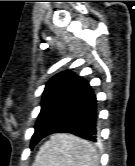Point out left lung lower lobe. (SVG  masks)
<instances>
[{"label":"left lung lower lobe","instance_id":"obj_1","mask_svg":"<svg viewBox=\"0 0 135 166\" xmlns=\"http://www.w3.org/2000/svg\"><path fill=\"white\" fill-rule=\"evenodd\" d=\"M97 100L89 83L79 79L69 94L35 129L31 140L33 148L42 138L52 133H71L96 142L98 137Z\"/></svg>","mask_w":135,"mask_h":166}]
</instances>
